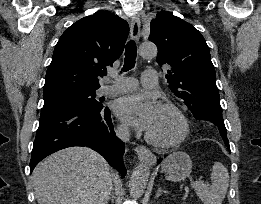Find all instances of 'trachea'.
<instances>
[{
	"mask_svg": "<svg viewBox=\"0 0 261 204\" xmlns=\"http://www.w3.org/2000/svg\"><path fill=\"white\" fill-rule=\"evenodd\" d=\"M136 56H137L136 44L135 41L131 40L126 45L125 60H124V66L122 68V71L126 72L134 68L136 63ZM106 74L107 73H104V75Z\"/></svg>",
	"mask_w": 261,
	"mask_h": 204,
	"instance_id": "trachea-1",
	"label": "trachea"
}]
</instances>
